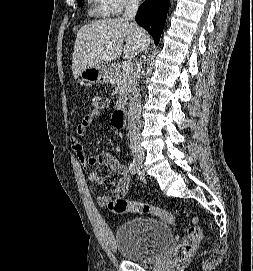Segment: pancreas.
Here are the masks:
<instances>
[{
    "label": "pancreas",
    "instance_id": "1",
    "mask_svg": "<svg viewBox=\"0 0 253 271\" xmlns=\"http://www.w3.org/2000/svg\"><path fill=\"white\" fill-rule=\"evenodd\" d=\"M134 73L132 71L126 73L120 70L119 64H112L109 67V79L110 83L116 88L118 101L116 103L117 108H123L128 99L131 86L134 83Z\"/></svg>",
    "mask_w": 253,
    "mask_h": 271
}]
</instances>
